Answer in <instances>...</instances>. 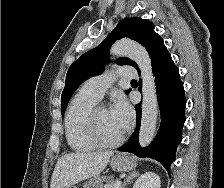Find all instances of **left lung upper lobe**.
Listing matches in <instances>:
<instances>
[{"instance_id": "obj_1", "label": "left lung upper lobe", "mask_w": 224, "mask_h": 188, "mask_svg": "<svg viewBox=\"0 0 224 188\" xmlns=\"http://www.w3.org/2000/svg\"><path fill=\"white\" fill-rule=\"evenodd\" d=\"M125 36L139 42L146 48L151 58L152 69L170 55L163 39L154 31L153 23L140 17L121 20L104 41L94 49L81 55L69 67L65 88L62 92V114H64L70 97L79 85L86 79L103 71L110 46L116 40ZM116 63L119 65H131L140 72L137 64L128 58L121 57L117 59ZM129 92L130 89L126 90V94Z\"/></svg>"}]
</instances>
